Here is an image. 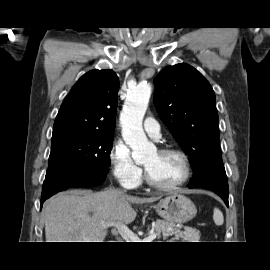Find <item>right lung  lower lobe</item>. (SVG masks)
I'll list each match as a JSON object with an SVG mask.
<instances>
[{"label":"right lung lower lobe","instance_id":"1","mask_svg":"<svg viewBox=\"0 0 270 270\" xmlns=\"http://www.w3.org/2000/svg\"><path fill=\"white\" fill-rule=\"evenodd\" d=\"M105 176L106 172L89 174L82 170L79 171L74 167H67L50 175H46L42 188L40 209L44 201L57 192L71 187L84 188L87 186H97L104 181Z\"/></svg>","mask_w":270,"mask_h":270}]
</instances>
